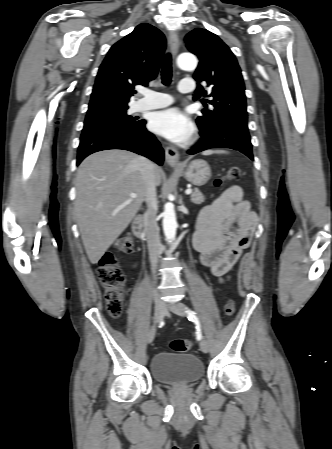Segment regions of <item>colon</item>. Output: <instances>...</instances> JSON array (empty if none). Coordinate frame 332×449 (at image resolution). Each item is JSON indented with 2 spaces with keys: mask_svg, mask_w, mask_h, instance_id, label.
I'll return each mask as SVG.
<instances>
[{
  "mask_svg": "<svg viewBox=\"0 0 332 449\" xmlns=\"http://www.w3.org/2000/svg\"><path fill=\"white\" fill-rule=\"evenodd\" d=\"M241 179L239 168H230L223 177L215 180L217 187L223 185L225 181H238ZM133 240L129 235L122 236L116 245L117 251L129 252L132 250ZM98 277L105 290V299L109 314L118 318L123 310V291L125 276L118 265V259L114 253H106L100 260ZM235 306L232 300H229L224 308V314L231 317L234 314ZM192 346L188 339H175L170 343L171 349L176 353H185Z\"/></svg>",
  "mask_w": 332,
  "mask_h": 449,
  "instance_id": "5ec220e1",
  "label": "colon"
}]
</instances>
